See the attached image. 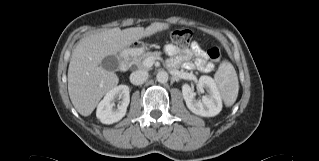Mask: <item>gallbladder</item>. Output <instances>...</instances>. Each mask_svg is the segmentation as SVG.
<instances>
[{
	"instance_id": "bac80fb5",
	"label": "gallbladder",
	"mask_w": 319,
	"mask_h": 161,
	"mask_svg": "<svg viewBox=\"0 0 319 161\" xmlns=\"http://www.w3.org/2000/svg\"><path fill=\"white\" fill-rule=\"evenodd\" d=\"M101 66L107 71L114 72L119 68V59L115 55L107 56L102 60Z\"/></svg>"
}]
</instances>
